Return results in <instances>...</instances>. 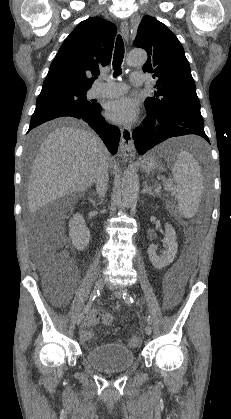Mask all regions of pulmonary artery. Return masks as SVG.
Here are the masks:
<instances>
[{
	"label": "pulmonary artery",
	"mask_w": 231,
	"mask_h": 419,
	"mask_svg": "<svg viewBox=\"0 0 231 419\" xmlns=\"http://www.w3.org/2000/svg\"><path fill=\"white\" fill-rule=\"evenodd\" d=\"M145 80V75L141 72H134L130 76V82L134 86L144 84ZM126 90L127 85L125 83L113 81L100 82L90 89L89 96L92 98L114 97L124 94Z\"/></svg>",
	"instance_id": "1"
}]
</instances>
